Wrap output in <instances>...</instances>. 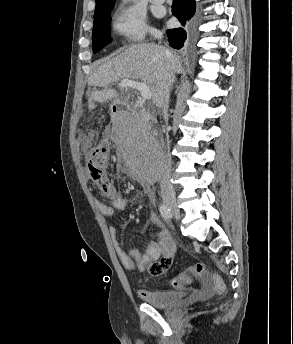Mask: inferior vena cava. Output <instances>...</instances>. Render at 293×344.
Masks as SVG:
<instances>
[{
	"mask_svg": "<svg viewBox=\"0 0 293 344\" xmlns=\"http://www.w3.org/2000/svg\"><path fill=\"white\" fill-rule=\"evenodd\" d=\"M154 36L156 39H162V33L160 32L155 33ZM165 58H166V65H165L164 74H163V85L159 92V99L156 102V106L161 108L163 117L167 121L170 89L174 82V72L172 68L173 53L168 48L165 49ZM160 145H161V150L164 153V157H165V164L163 167V173L160 180L161 196L163 198H167V197L174 198L175 192L170 182V178H171L170 145L169 143L165 145L163 141L160 142Z\"/></svg>",
	"mask_w": 293,
	"mask_h": 344,
	"instance_id": "obj_1",
	"label": "inferior vena cava"
}]
</instances>
